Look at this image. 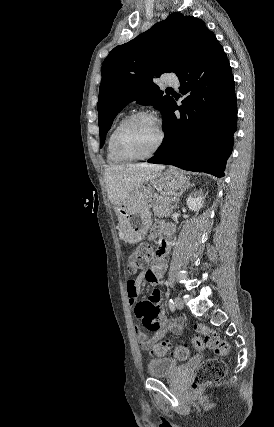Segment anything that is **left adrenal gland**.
<instances>
[{
    "instance_id": "1",
    "label": "left adrenal gland",
    "mask_w": 274,
    "mask_h": 427,
    "mask_svg": "<svg viewBox=\"0 0 274 427\" xmlns=\"http://www.w3.org/2000/svg\"><path fill=\"white\" fill-rule=\"evenodd\" d=\"M188 188H190V186H186V188H184V190H181V192H178V196H177V198L175 200L174 210H175V208H177L178 202H180V198H181L183 192H186V190H188Z\"/></svg>"
}]
</instances>
